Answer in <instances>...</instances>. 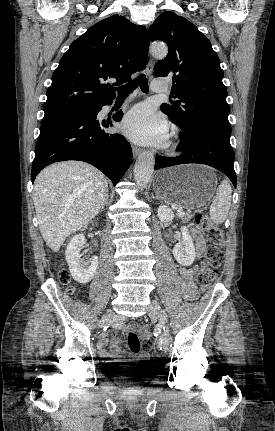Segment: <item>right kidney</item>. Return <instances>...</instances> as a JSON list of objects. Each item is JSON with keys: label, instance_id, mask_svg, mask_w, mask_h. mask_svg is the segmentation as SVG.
Returning a JSON list of instances; mask_svg holds the SVG:
<instances>
[{"label": "right kidney", "instance_id": "1", "mask_svg": "<svg viewBox=\"0 0 275 431\" xmlns=\"http://www.w3.org/2000/svg\"><path fill=\"white\" fill-rule=\"evenodd\" d=\"M85 242V236L83 234H77L68 243L65 251L66 260L72 277L82 284L91 281L98 267L97 256H93L90 261L81 258L80 250Z\"/></svg>", "mask_w": 275, "mask_h": 431}]
</instances>
